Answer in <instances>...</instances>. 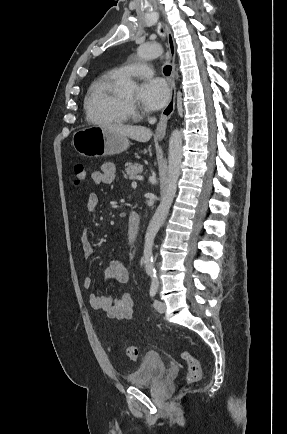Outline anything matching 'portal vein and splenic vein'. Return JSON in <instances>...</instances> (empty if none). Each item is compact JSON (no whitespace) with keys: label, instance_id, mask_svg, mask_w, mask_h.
I'll return each instance as SVG.
<instances>
[{"label":"portal vein and splenic vein","instance_id":"obj_1","mask_svg":"<svg viewBox=\"0 0 287 434\" xmlns=\"http://www.w3.org/2000/svg\"><path fill=\"white\" fill-rule=\"evenodd\" d=\"M131 186H132L133 188H136V187H137V183H136L135 181H133V182L131 183Z\"/></svg>","mask_w":287,"mask_h":434}]
</instances>
